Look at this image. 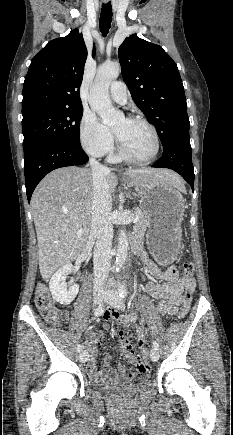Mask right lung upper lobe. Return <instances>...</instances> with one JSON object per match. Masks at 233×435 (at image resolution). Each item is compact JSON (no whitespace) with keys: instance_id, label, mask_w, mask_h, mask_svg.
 Returning <instances> with one entry per match:
<instances>
[{"instance_id":"1","label":"right lung upper lobe","mask_w":233,"mask_h":435,"mask_svg":"<svg viewBox=\"0 0 233 435\" xmlns=\"http://www.w3.org/2000/svg\"><path fill=\"white\" fill-rule=\"evenodd\" d=\"M86 58L87 49L78 29L50 41L32 59L26 74L22 115L49 108H83L79 90Z\"/></svg>"}]
</instances>
